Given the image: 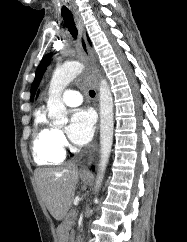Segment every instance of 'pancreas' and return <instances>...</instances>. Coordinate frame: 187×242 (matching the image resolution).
<instances>
[{"mask_svg": "<svg viewBox=\"0 0 187 242\" xmlns=\"http://www.w3.org/2000/svg\"><path fill=\"white\" fill-rule=\"evenodd\" d=\"M76 216H77V213L75 210H71L69 212V214L67 215L65 221H64V225L67 227V228H70L72 229L75 225V219H76Z\"/></svg>", "mask_w": 187, "mask_h": 242, "instance_id": "pancreas-1", "label": "pancreas"}]
</instances>
